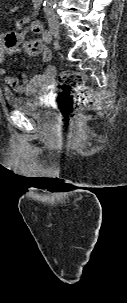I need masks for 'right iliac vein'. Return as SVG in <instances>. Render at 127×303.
<instances>
[{"label":"right iliac vein","instance_id":"right-iliac-vein-1","mask_svg":"<svg viewBox=\"0 0 127 303\" xmlns=\"http://www.w3.org/2000/svg\"><path fill=\"white\" fill-rule=\"evenodd\" d=\"M49 27L55 38L59 39L60 38V27L59 23L56 20H49L48 22Z\"/></svg>","mask_w":127,"mask_h":303}]
</instances>
